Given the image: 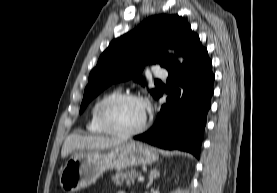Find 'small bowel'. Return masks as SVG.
Returning <instances> with one entry per match:
<instances>
[{"label":"small bowel","mask_w":277,"mask_h":193,"mask_svg":"<svg viewBox=\"0 0 277 193\" xmlns=\"http://www.w3.org/2000/svg\"><path fill=\"white\" fill-rule=\"evenodd\" d=\"M117 193H125L124 191H119V192H117Z\"/></svg>","instance_id":"obj_1"}]
</instances>
